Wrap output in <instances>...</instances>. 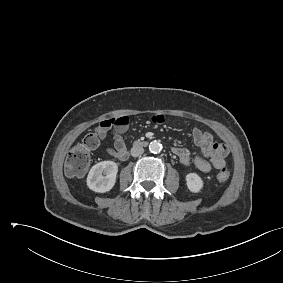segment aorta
Wrapping results in <instances>:
<instances>
[{
    "label": "aorta",
    "instance_id": "762f6f07",
    "mask_svg": "<svg viewBox=\"0 0 283 283\" xmlns=\"http://www.w3.org/2000/svg\"><path fill=\"white\" fill-rule=\"evenodd\" d=\"M149 150L151 153L158 154L162 150V144L158 141H152L149 144Z\"/></svg>",
    "mask_w": 283,
    "mask_h": 283
}]
</instances>
